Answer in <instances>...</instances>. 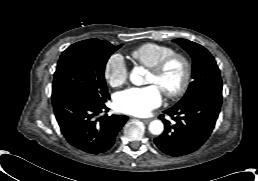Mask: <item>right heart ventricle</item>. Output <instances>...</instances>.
Returning <instances> with one entry per match:
<instances>
[{"label": "right heart ventricle", "instance_id": "1", "mask_svg": "<svg viewBox=\"0 0 258 181\" xmlns=\"http://www.w3.org/2000/svg\"><path fill=\"white\" fill-rule=\"evenodd\" d=\"M174 50L154 42L144 43L131 51L130 56L144 67L150 68Z\"/></svg>", "mask_w": 258, "mask_h": 181}]
</instances>
